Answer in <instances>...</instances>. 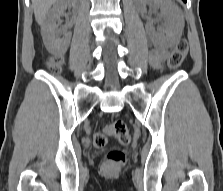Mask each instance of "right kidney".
<instances>
[{
	"label": "right kidney",
	"mask_w": 223,
	"mask_h": 191,
	"mask_svg": "<svg viewBox=\"0 0 223 191\" xmlns=\"http://www.w3.org/2000/svg\"><path fill=\"white\" fill-rule=\"evenodd\" d=\"M77 0H59L49 11L41 28V34L45 46L54 55L64 54L70 44L71 33L59 29L60 18L69 7H76Z\"/></svg>",
	"instance_id": "ca27d5eb"
}]
</instances>
